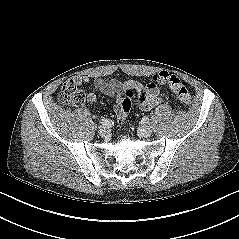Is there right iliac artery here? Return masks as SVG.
<instances>
[{"mask_svg": "<svg viewBox=\"0 0 239 239\" xmlns=\"http://www.w3.org/2000/svg\"><path fill=\"white\" fill-rule=\"evenodd\" d=\"M103 126H110L111 122L108 119H102L100 122Z\"/></svg>", "mask_w": 239, "mask_h": 239, "instance_id": "82829eb1", "label": "right iliac artery"}]
</instances>
